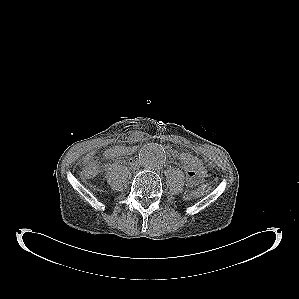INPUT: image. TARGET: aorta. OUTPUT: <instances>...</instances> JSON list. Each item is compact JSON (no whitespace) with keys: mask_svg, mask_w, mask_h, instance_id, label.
<instances>
[{"mask_svg":"<svg viewBox=\"0 0 299 299\" xmlns=\"http://www.w3.org/2000/svg\"><path fill=\"white\" fill-rule=\"evenodd\" d=\"M164 148L158 144L144 145L139 153L141 164L147 169H157L165 162Z\"/></svg>","mask_w":299,"mask_h":299,"instance_id":"obj_1","label":"aorta"}]
</instances>
